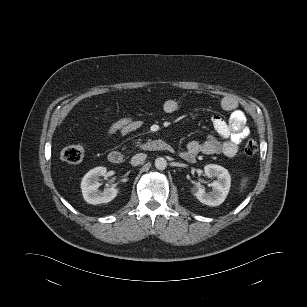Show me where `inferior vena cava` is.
Segmentation results:
<instances>
[{
    "mask_svg": "<svg viewBox=\"0 0 307 307\" xmlns=\"http://www.w3.org/2000/svg\"><path fill=\"white\" fill-rule=\"evenodd\" d=\"M146 158H147V155L145 153H138L131 158V164L133 166H137L143 161H145Z\"/></svg>",
    "mask_w": 307,
    "mask_h": 307,
    "instance_id": "inferior-vena-cava-1",
    "label": "inferior vena cava"
}]
</instances>
